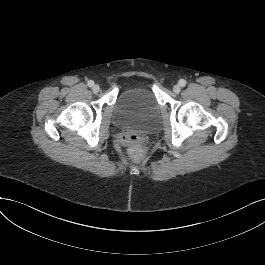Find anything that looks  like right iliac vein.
<instances>
[{
  "label": "right iliac vein",
  "instance_id": "right-iliac-vein-1",
  "mask_svg": "<svg viewBox=\"0 0 265 265\" xmlns=\"http://www.w3.org/2000/svg\"><path fill=\"white\" fill-rule=\"evenodd\" d=\"M92 91H93V93H98L99 91H100V86L99 85H93V87H92Z\"/></svg>",
  "mask_w": 265,
  "mask_h": 265
}]
</instances>
